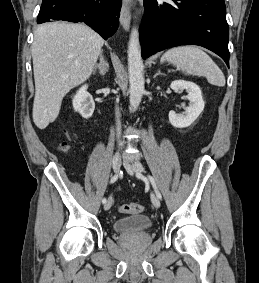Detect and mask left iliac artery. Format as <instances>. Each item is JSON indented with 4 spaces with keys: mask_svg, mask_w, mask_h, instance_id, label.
Returning <instances> with one entry per match:
<instances>
[{
    "mask_svg": "<svg viewBox=\"0 0 259 283\" xmlns=\"http://www.w3.org/2000/svg\"><path fill=\"white\" fill-rule=\"evenodd\" d=\"M148 178H149V180H150V182H151V184H152V186H153V188L155 190V193H156L157 197L159 199H162L161 193L158 190V187L156 185V182H155L154 178L151 175H149Z\"/></svg>",
    "mask_w": 259,
    "mask_h": 283,
    "instance_id": "1",
    "label": "left iliac artery"
}]
</instances>
